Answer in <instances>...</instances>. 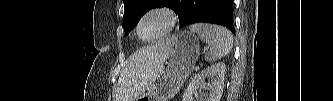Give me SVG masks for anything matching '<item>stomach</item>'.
Instances as JSON below:
<instances>
[{
  "instance_id": "0dacf381",
  "label": "stomach",
  "mask_w": 333,
  "mask_h": 101,
  "mask_svg": "<svg viewBox=\"0 0 333 101\" xmlns=\"http://www.w3.org/2000/svg\"><path fill=\"white\" fill-rule=\"evenodd\" d=\"M168 48L162 67L147 91L135 101H167L184 84L199 57V38L183 31L165 40Z\"/></svg>"
}]
</instances>
